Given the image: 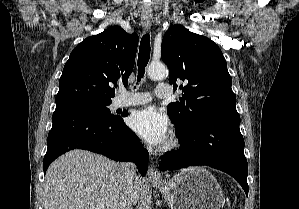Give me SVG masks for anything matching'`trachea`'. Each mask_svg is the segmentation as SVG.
Wrapping results in <instances>:
<instances>
[{
  "mask_svg": "<svg viewBox=\"0 0 299 209\" xmlns=\"http://www.w3.org/2000/svg\"><path fill=\"white\" fill-rule=\"evenodd\" d=\"M150 36L149 34H145L140 42L139 54H138V78L137 80L140 81L141 78L144 76L145 67L148 64L150 58Z\"/></svg>",
  "mask_w": 299,
  "mask_h": 209,
  "instance_id": "trachea-1",
  "label": "trachea"
}]
</instances>
